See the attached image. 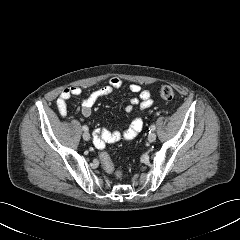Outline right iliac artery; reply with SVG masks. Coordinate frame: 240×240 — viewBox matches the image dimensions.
Here are the masks:
<instances>
[{"label":"right iliac artery","instance_id":"82829eb1","mask_svg":"<svg viewBox=\"0 0 240 240\" xmlns=\"http://www.w3.org/2000/svg\"><path fill=\"white\" fill-rule=\"evenodd\" d=\"M82 129H83L84 131H88V127H87L86 125H84V126L82 127Z\"/></svg>","mask_w":240,"mask_h":240}]
</instances>
